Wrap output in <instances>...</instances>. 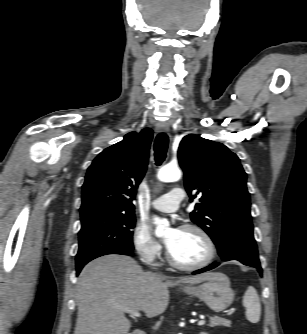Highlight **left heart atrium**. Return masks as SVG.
Masks as SVG:
<instances>
[{"mask_svg": "<svg viewBox=\"0 0 307 334\" xmlns=\"http://www.w3.org/2000/svg\"><path fill=\"white\" fill-rule=\"evenodd\" d=\"M181 229L172 228L165 239V244L169 250H171L178 242L180 237Z\"/></svg>", "mask_w": 307, "mask_h": 334, "instance_id": "39dd6f15", "label": "left heart atrium"}]
</instances>
